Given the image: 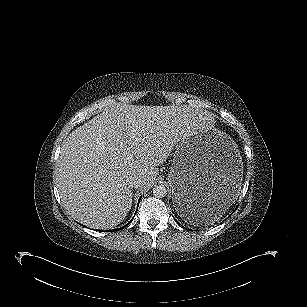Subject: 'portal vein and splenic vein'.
<instances>
[{
    "instance_id": "1",
    "label": "portal vein and splenic vein",
    "mask_w": 307,
    "mask_h": 307,
    "mask_svg": "<svg viewBox=\"0 0 307 307\" xmlns=\"http://www.w3.org/2000/svg\"><path fill=\"white\" fill-rule=\"evenodd\" d=\"M128 160H134L133 156H128Z\"/></svg>"
}]
</instances>
